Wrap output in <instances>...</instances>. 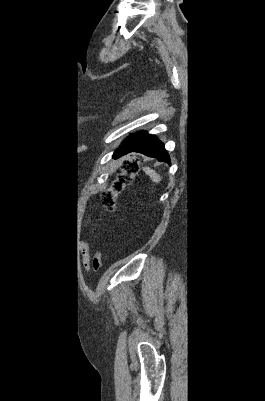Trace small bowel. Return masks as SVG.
I'll return each instance as SVG.
<instances>
[{
	"mask_svg": "<svg viewBox=\"0 0 265 401\" xmlns=\"http://www.w3.org/2000/svg\"><path fill=\"white\" fill-rule=\"evenodd\" d=\"M83 263L85 264V266H89V253H88V248L87 246L83 247Z\"/></svg>",
	"mask_w": 265,
	"mask_h": 401,
	"instance_id": "1",
	"label": "small bowel"
}]
</instances>
